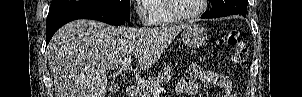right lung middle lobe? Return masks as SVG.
Returning a JSON list of instances; mask_svg holds the SVG:
<instances>
[{
  "label": "right lung middle lobe",
  "mask_w": 302,
  "mask_h": 97,
  "mask_svg": "<svg viewBox=\"0 0 302 97\" xmlns=\"http://www.w3.org/2000/svg\"><path fill=\"white\" fill-rule=\"evenodd\" d=\"M80 7L103 8L130 22V0H53L49 14Z\"/></svg>",
  "instance_id": "obj_1"
}]
</instances>
